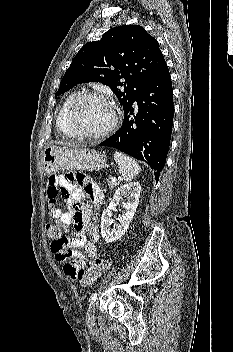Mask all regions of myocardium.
<instances>
[{
	"label": "myocardium",
	"instance_id": "obj_1",
	"mask_svg": "<svg viewBox=\"0 0 233 352\" xmlns=\"http://www.w3.org/2000/svg\"><path fill=\"white\" fill-rule=\"evenodd\" d=\"M89 98H95V99H100L103 100L104 102H106L112 109V113H113V117L111 122L109 123V125L107 127H105L103 130L96 132V133H83V132H79L75 129L74 127V122H73V116H74V112L77 108V106L85 99H89ZM119 118H120V112L119 109L117 107V105L114 103V101L109 98L108 96L99 93V92H84L79 94L71 103L68 112H67V117H66V122H67V126L69 128V131L72 135V137L78 138V139H100L103 137H106L107 135H109L118 125L119 122Z\"/></svg>",
	"mask_w": 233,
	"mask_h": 352
}]
</instances>
